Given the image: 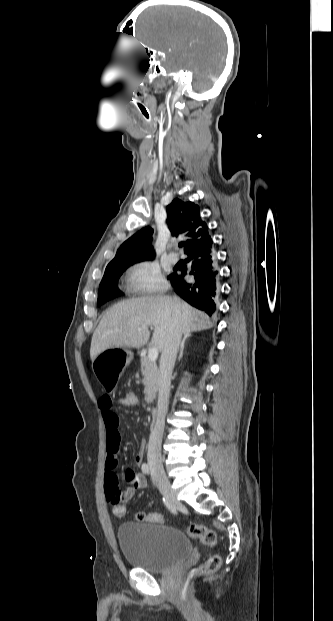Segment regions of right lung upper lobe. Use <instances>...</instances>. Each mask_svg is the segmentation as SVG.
<instances>
[{"label":"right lung upper lobe","instance_id":"1","mask_svg":"<svg viewBox=\"0 0 333 621\" xmlns=\"http://www.w3.org/2000/svg\"><path fill=\"white\" fill-rule=\"evenodd\" d=\"M167 214V224L172 235L185 234L188 237L182 243L185 254L212 245L207 224L201 220L200 207L197 204L176 198L167 206ZM152 235L151 227L137 231L120 246L107 267L153 259L155 255L151 244Z\"/></svg>","mask_w":333,"mask_h":621}]
</instances>
